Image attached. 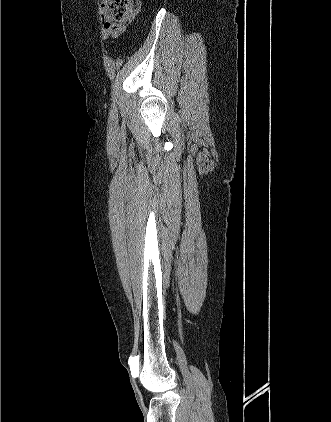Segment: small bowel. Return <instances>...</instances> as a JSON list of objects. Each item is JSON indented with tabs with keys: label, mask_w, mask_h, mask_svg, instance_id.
Segmentation results:
<instances>
[{
	"label": "small bowel",
	"mask_w": 331,
	"mask_h": 422,
	"mask_svg": "<svg viewBox=\"0 0 331 422\" xmlns=\"http://www.w3.org/2000/svg\"><path fill=\"white\" fill-rule=\"evenodd\" d=\"M100 14L104 26V38H121L126 32V27L111 19L107 0H101Z\"/></svg>",
	"instance_id": "1"
}]
</instances>
